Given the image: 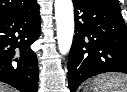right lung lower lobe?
Instances as JSON below:
<instances>
[{
  "instance_id": "obj_1",
  "label": "right lung lower lobe",
  "mask_w": 127,
  "mask_h": 92,
  "mask_svg": "<svg viewBox=\"0 0 127 92\" xmlns=\"http://www.w3.org/2000/svg\"><path fill=\"white\" fill-rule=\"evenodd\" d=\"M40 30L38 4L0 17V81L21 92H37L39 70L31 44Z\"/></svg>"
}]
</instances>
